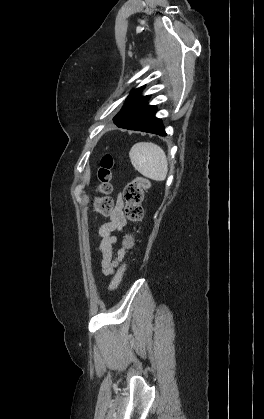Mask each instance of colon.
Here are the masks:
<instances>
[{"mask_svg":"<svg viewBox=\"0 0 264 419\" xmlns=\"http://www.w3.org/2000/svg\"><path fill=\"white\" fill-rule=\"evenodd\" d=\"M114 161L112 156L105 155L101 160V165L98 171V192L101 194L96 199L95 209L101 214H109L113 208V202L108 196L112 191L110 183L111 169ZM149 182L144 177H136L133 181L128 183L124 188V200H125V215L131 222H139L143 217L142 201L144 192L148 189ZM123 248L125 250H131L135 245V235L133 232H128L124 235L122 241ZM126 269V264L123 263L117 270L115 276L112 279L110 289L116 290L120 285L123 275Z\"/></svg>","mask_w":264,"mask_h":419,"instance_id":"obj_1","label":"colon"}]
</instances>
